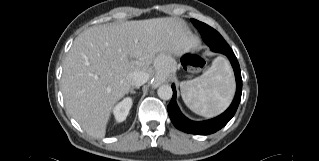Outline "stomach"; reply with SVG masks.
Returning a JSON list of instances; mask_svg holds the SVG:
<instances>
[{
  "instance_id": "0dacf381",
  "label": "stomach",
  "mask_w": 319,
  "mask_h": 161,
  "mask_svg": "<svg viewBox=\"0 0 319 161\" xmlns=\"http://www.w3.org/2000/svg\"><path fill=\"white\" fill-rule=\"evenodd\" d=\"M155 68L161 77H168L177 70V62L168 52L157 54L154 60Z\"/></svg>"
}]
</instances>
